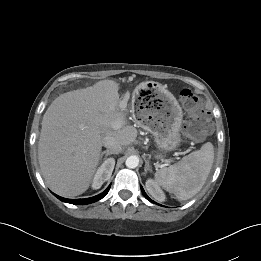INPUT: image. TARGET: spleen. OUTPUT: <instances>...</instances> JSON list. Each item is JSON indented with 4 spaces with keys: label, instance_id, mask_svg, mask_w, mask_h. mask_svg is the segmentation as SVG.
Segmentation results:
<instances>
[{
    "label": "spleen",
    "instance_id": "obj_1",
    "mask_svg": "<svg viewBox=\"0 0 261 261\" xmlns=\"http://www.w3.org/2000/svg\"><path fill=\"white\" fill-rule=\"evenodd\" d=\"M214 147L205 143L200 150L182 158L178 163L159 169L156 182L178 200H187L196 195L205 184L213 165Z\"/></svg>",
    "mask_w": 261,
    "mask_h": 261
}]
</instances>
